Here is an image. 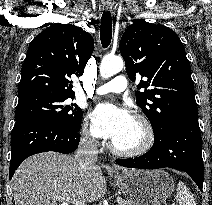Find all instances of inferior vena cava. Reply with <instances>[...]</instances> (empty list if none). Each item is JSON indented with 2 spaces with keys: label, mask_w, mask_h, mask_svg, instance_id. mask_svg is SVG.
<instances>
[{
  "label": "inferior vena cava",
  "mask_w": 212,
  "mask_h": 205,
  "mask_svg": "<svg viewBox=\"0 0 212 205\" xmlns=\"http://www.w3.org/2000/svg\"><path fill=\"white\" fill-rule=\"evenodd\" d=\"M75 159L82 170L94 165L98 160L97 141L90 135L81 138Z\"/></svg>",
  "instance_id": "1"
}]
</instances>
